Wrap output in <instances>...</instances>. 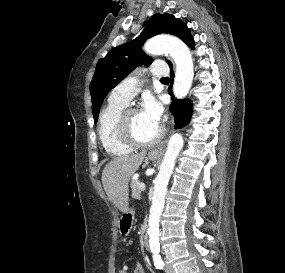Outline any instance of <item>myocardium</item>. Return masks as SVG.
Segmentation results:
<instances>
[{
    "instance_id": "myocardium-1",
    "label": "myocardium",
    "mask_w": 285,
    "mask_h": 273,
    "mask_svg": "<svg viewBox=\"0 0 285 273\" xmlns=\"http://www.w3.org/2000/svg\"><path fill=\"white\" fill-rule=\"evenodd\" d=\"M138 110L133 107H125L119 115L117 122V134L121 142L131 148H145L158 143L164 136L165 130L163 126L159 127L157 135L149 141L138 140L131 131L129 124V116Z\"/></svg>"
}]
</instances>
